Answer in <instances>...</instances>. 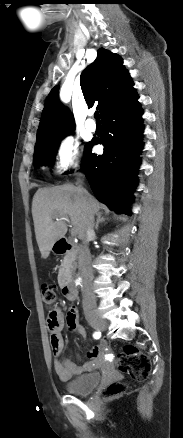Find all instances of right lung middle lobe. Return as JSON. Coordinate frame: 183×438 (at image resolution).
Instances as JSON below:
<instances>
[{
    "label": "right lung middle lobe",
    "instance_id": "right-lung-middle-lobe-1",
    "mask_svg": "<svg viewBox=\"0 0 183 438\" xmlns=\"http://www.w3.org/2000/svg\"><path fill=\"white\" fill-rule=\"evenodd\" d=\"M71 132L72 130H68L37 138L34 151V165L45 164L52 166L60 141Z\"/></svg>",
    "mask_w": 183,
    "mask_h": 438
}]
</instances>
